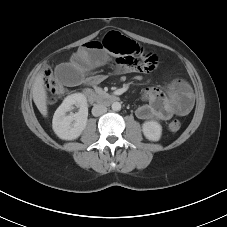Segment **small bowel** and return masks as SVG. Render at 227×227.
<instances>
[{
	"label": "small bowel",
	"instance_id": "c3829d8e",
	"mask_svg": "<svg viewBox=\"0 0 227 227\" xmlns=\"http://www.w3.org/2000/svg\"><path fill=\"white\" fill-rule=\"evenodd\" d=\"M108 54L98 41L83 45L72 57L70 63L61 64L55 71L56 80L64 87L77 85L94 86L104 80L103 75L87 76V71L102 66L108 61ZM116 65L119 71L137 73L142 64L130 57H121ZM144 103L137 107L136 115L142 120L165 121L173 115H186L193 107V96L188 85L182 80H172L167 86V92L157 87L146 88L142 93Z\"/></svg>",
	"mask_w": 227,
	"mask_h": 227
}]
</instances>
